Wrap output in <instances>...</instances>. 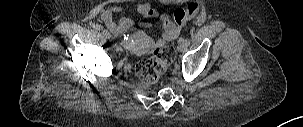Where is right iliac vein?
<instances>
[{
  "instance_id": "obj_1",
  "label": "right iliac vein",
  "mask_w": 303,
  "mask_h": 127,
  "mask_svg": "<svg viewBox=\"0 0 303 127\" xmlns=\"http://www.w3.org/2000/svg\"><path fill=\"white\" fill-rule=\"evenodd\" d=\"M106 38L108 39V41L114 48H117V44L115 43V41L111 35H108Z\"/></svg>"
}]
</instances>
